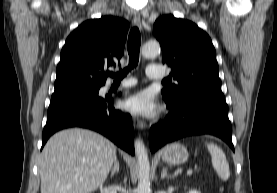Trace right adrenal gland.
Returning <instances> with one entry per match:
<instances>
[{
  "label": "right adrenal gland",
  "mask_w": 277,
  "mask_h": 193,
  "mask_svg": "<svg viewBox=\"0 0 277 193\" xmlns=\"http://www.w3.org/2000/svg\"><path fill=\"white\" fill-rule=\"evenodd\" d=\"M118 172H119V162H118L117 158H115L114 166L111 170V178L114 176L115 173H118Z\"/></svg>",
  "instance_id": "2a0ac1e0"
}]
</instances>
